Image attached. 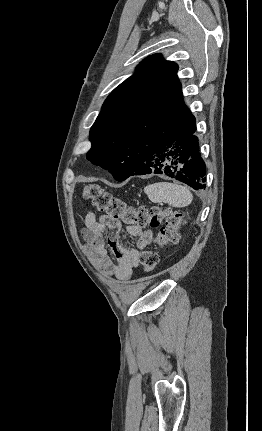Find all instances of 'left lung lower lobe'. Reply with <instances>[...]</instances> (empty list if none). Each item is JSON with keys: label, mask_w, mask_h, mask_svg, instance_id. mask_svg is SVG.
<instances>
[{"label": "left lung lower lobe", "mask_w": 262, "mask_h": 431, "mask_svg": "<svg viewBox=\"0 0 262 431\" xmlns=\"http://www.w3.org/2000/svg\"><path fill=\"white\" fill-rule=\"evenodd\" d=\"M195 131V123L185 126L161 141L151 152L138 156L131 175L165 174L195 190L204 189L206 166Z\"/></svg>", "instance_id": "left-lung-lower-lobe-1"}]
</instances>
